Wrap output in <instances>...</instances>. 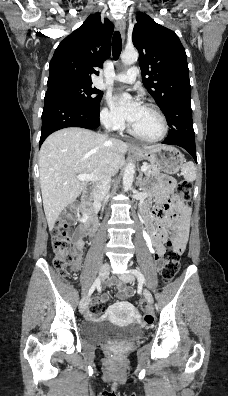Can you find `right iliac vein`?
Wrapping results in <instances>:
<instances>
[{
  "label": "right iliac vein",
  "mask_w": 228,
  "mask_h": 396,
  "mask_svg": "<svg viewBox=\"0 0 228 396\" xmlns=\"http://www.w3.org/2000/svg\"><path fill=\"white\" fill-rule=\"evenodd\" d=\"M109 270H110V265H109V263H107V262L104 263V264L101 266V268H100L99 277L102 278V279L106 278L107 275H108V273H109ZM89 301H90V295H87V296H85V297H83V298L81 299L80 304H79V311H80V313H84V312H85V310H86V308H87V306H88Z\"/></svg>",
  "instance_id": "1"
}]
</instances>
